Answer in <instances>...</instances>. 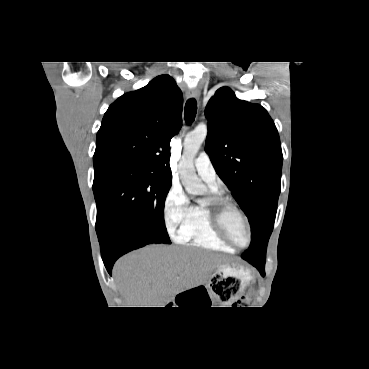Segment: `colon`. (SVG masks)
<instances>
[{
    "label": "colon",
    "instance_id": "obj_1",
    "mask_svg": "<svg viewBox=\"0 0 369 369\" xmlns=\"http://www.w3.org/2000/svg\"><path fill=\"white\" fill-rule=\"evenodd\" d=\"M250 300V297L249 295H246V296H242L236 303H235V306L236 307H241V306H245L248 304Z\"/></svg>",
    "mask_w": 369,
    "mask_h": 369
}]
</instances>
